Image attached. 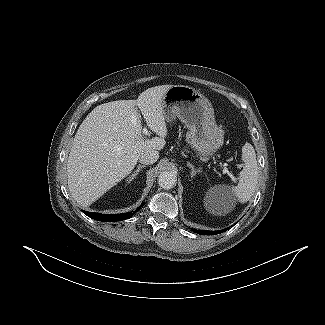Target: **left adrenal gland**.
<instances>
[{"mask_svg":"<svg viewBox=\"0 0 325 325\" xmlns=\"http://www.w3.org/2000/svg\"><path fill=\"white\" fill-rule=\"evenodd\" d=\"M187 166L191 169V177H194L196 175V173H200L199 169H195L194 166L192 164H190L188 162Z\"/></svg>","mask_w":325,"mask_h":325,"instance_id":"1","label":"left adrenal gland"}]
</instances>
